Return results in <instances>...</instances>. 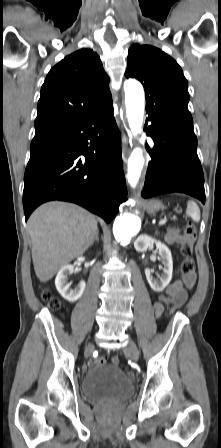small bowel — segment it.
I'll return each instance as SVG.
<instances>
[{
  "label": "small bowel",
  "mask_w": 221,
  "mask_h": 448,
  "mask_svg": "<svg viewBox=\"0 0 221 448\" xmlns=\"http://www.w3.org/2000/svg\"><path fill=\"white\" fill-rule=\"evenodd\" d=\"M165 240L171 244H179L183 242V236L175 229H171L165 235ZM195 274L191 276L188 282L183 280H176L170 284L165 291V295L160 297L157 301L153 303V310L157 317H159L163 311L164 303L178 301L183 304L187 298L186 288L190 289L195 283Z\"/></svg>",
  "instance_id": "1"
}]
</instances>
